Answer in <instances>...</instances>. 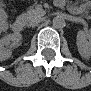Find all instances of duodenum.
Returning a JSON list of instances; mask_svg holds the SVG:
<instances>
[{"mask_svg":"<svg viewBox=\"0 0 91 91\" xmlns=\"http://www.w3.org/2000/svg\"><path fill=\"white\" fill-rule=\"evenodd\" d=\"M24 29V21L23 19H17L13 22L12 24V30L15 32V33H20L22 32Z\"/></svg>","mask_w":91,"mask_h":91,"instance_id":"1","label":"duodenum"}]
</instances>
